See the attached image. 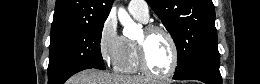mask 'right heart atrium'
<instances>
[{
    "mask_svg": "<svg viewBox=\"0 0 260 84\" xmlns=\"http://www.w3.org/2000/svg\"><path fill=\"white\" fill-rule=\"evenodd\" d=\"M122 37L117 30V24L112 16H108L102 23L98 35V51L100 57L109 65H115L118 61Z\"/></svg>",
    "mask_w": 260,
    "mask_h": 84,
    "instance_id": "right-heart-atrium-1",
    "label": "right heart atrium"
}]
</instances>
